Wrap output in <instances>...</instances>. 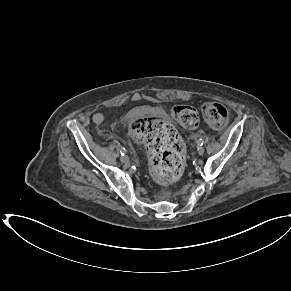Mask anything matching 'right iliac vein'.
I'll use <instances>...</instances> for the list:
<instances>
[{
	"mask_svg": "<svg viewBox=\"0 0 291 291\" xmlns=\"http://www.w3.org/2000/svg\"><path fill=\"white\" fill-rule=\"evenodd\" d=\"M120 160L124 164H128L129 163V157L127 155L121 156Z\"/></svg>",
	"mask_w": 291,
	"mask_h": 291,
	"instance_id": "63e3f726",
	"label": "right iliac vein"
}]
</instances>
